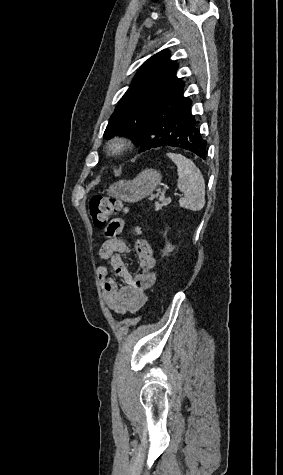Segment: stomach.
Returning <instances> with one entry per match:
<instances>
[{
    "instance_id": "stomach-1",
    "label": "stomach",
    "mask_w": 283,
    "mask_h": 475,
    "mask_svg": "<svg viewBox=\"0 0 283 475\" xmlns=\"http://www.w3.org/2000/svg\"><path fill=\"white\" fill-rule=\"evenodd\" d=\"M161 180L162 176L157 170H143L134 180L115 182L107 192L112 198L134 204V202H140L143 198L150 196L158 184H161Z\"/></svg>"
}]
</instances>
